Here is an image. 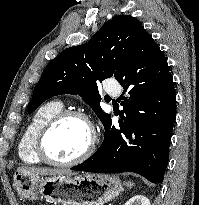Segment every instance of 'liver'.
<instances>
[{
	"label": "liver",
	"mask_w": 199,
	"mask_h": 205,
	"mask_svg": "<svg viewBox=\"0 0 199 205\" xmlns=\"http://www.w3.org/2000/svg\"><path fill=\"white\" fill-rule=\"evenodd\" d=\"M18 172H24L30 175L37 176H53V175H65L72 176L77 175L75 172H71L70 170L65 169H52V168H36V167H19L17 169Z\"/></svg>",
	"instance_id": "obj_1"
}]
</instances>
